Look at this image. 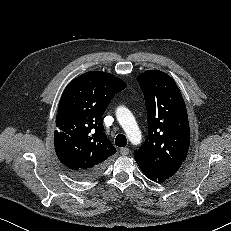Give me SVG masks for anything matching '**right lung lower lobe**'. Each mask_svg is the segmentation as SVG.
Returning a JSON list of instances; mask_svg holds the SVG:
<instances>
[{
	"instance_id": "obj_1",
	"label": "right lung lower lobe",
	"mask_w": 231,
	"mask_h": 231,
	"mask_svg": "<svg viewBox=\"0 0 231 231\" xmlns=\"http://www.w3.org/2000/svg\"><path fill=\"white\" fill-rule=\"evenodd\" d=\"M103 168H97L81 172H70L72 177L76 180H89L97 176Z\"/></svg>"
}]
</instances>
